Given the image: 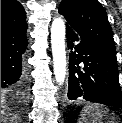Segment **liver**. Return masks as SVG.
<instances>
[{
  "label": "liver",
  "mask_w": 122,
  "mask_h": 123,
  "mask_svg": "<svg viewBox=\"0 0 122 123\" xmlns=\"http://www.w3.org/2000/svg\"><path fill=\"white\" fill-rule=\"evenodd\" d=\"M8 116V114L1 112V123H4L6 120V117Z\"/></svg>",
  "instance_id": "liver-1"
}]
</instances>
